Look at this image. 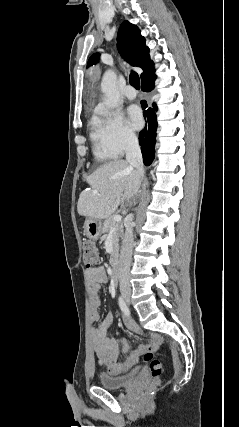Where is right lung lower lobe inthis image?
Segmentation results:
<instances>
[{"instance_id": "1", "label": "right lung lower lobe", "mask_w": 239, "mask_h": 427, "mask_svg": "<svg viewBox=\"0 0 239 427\" xmlns=\"http://www.w3.org/2000/svg\"><path fill=\"white\" fill-rule=\"evenodd\" d=\"M156 79L155 74L141 80V89L144 92H149L154 88V81ZM147 104L142 101V108L145 109ZM154 109L157 110L156 105H153ZM144 116L147 117L148 125L139 134V144L143 155V161L145 165H150L154 159V146L157 129L156 114L152 108H149Z\"/></svg>"}]
</instances>
